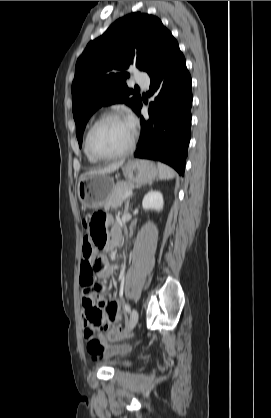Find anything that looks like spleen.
<instances>
[{
	"mask_svg": "<svg viewBox=\"0 0 271 418\" xmlns=\"http://www.w3.org/2000/svg\"><path fill=\"white\" fill-rule=\"evenodd\" d=\"M158 171L161 180H169L175 176L174 170L161 162H158Z\"/></svg>",
	"mask_w": 271,
	"mask_h": 418,
	"instance_id": "obj_1",
	"label": "spleen"
}]
</instances>
